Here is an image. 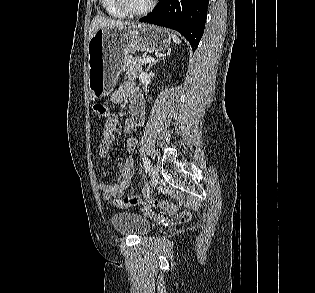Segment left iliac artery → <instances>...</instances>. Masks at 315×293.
Segmentation results:
<instances>
[{
	"label": "left iliac artery",
	"instance_id": "left-iliac-artery-1",
	"mask_svg": "<svg viewBox=\"0 0 315 293\" xmlns=\"http://www.w3.org/2000/svg\"><path fill=\"white\" fill-rule=\"evenodd\" d=\"M143 163H144V169H145V172H149L150 169H151V163H150V160L147 158V157H144L143 158Z\"/></svg>",
	"mask_w": 315,
	"mask_h": 293
}]
</instances>
